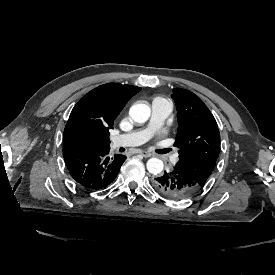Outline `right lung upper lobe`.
Instances as JSON below:
<instances>
[{
	"mask_svg": "<svg viewBox=\"0 0 275 275\" xmlns=\"http://www.w3.org/2000/svg\"><path fill=\"white\" fill-rule=\"evenodd\" d=\"M139 91L136 86L108 83L87 93L71 111L64 130V151L82 147L88 136L96 147H108L113 121L125 103Z\"/></svg>",
	"mask_w": 275,
	"mask_h": 275,
	"instance_id": "obj_1",
	"label": "right lung upper lobe"
}]
</instances>
